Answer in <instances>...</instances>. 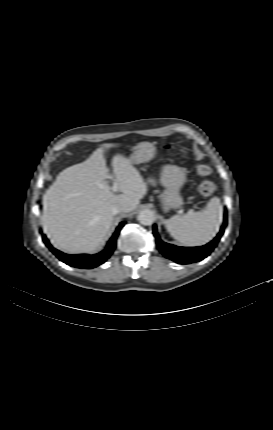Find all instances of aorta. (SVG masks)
I'll list each match as a JSON object with an SVG mask.
<instances>
[{
	"instance_id": "1",
	"label": "aorta",
	"mask_w": 273,
	"mask_h": 430,
	"mask_svg": "<svg viewBox=\"0 0 273 430\" xmlns=\"http://www.w3.org/2000/svg\"><path fill=\"white\" fill-rule=\"evenodd\" d=\"M155 220H156L155 212L150 209L143 210L138 215V221L142 225H146V226L152 225Z\"/></svg>"
}]
</instances>
